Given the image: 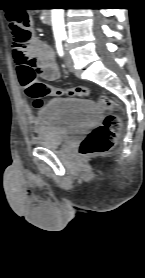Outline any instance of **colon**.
Masks as SVG:
<instances>
[{"instance_id": "5ec220e1", "label": "colon", "mask_w": 145, "mask_h": 278, "mask_svg": "<svg viewBox=\"0 0 145 278\" xmlns=\"http://www.w3.org/2000/svg\"><path fill=\"white\" fill-rule=\"evenodd\" d=\"M10 32L14 42L28 49L32 46L31 18L27 11L18 10L7 16ZM22 88L33 100L34 106L40 108L44 99L50 96L66 95L86 97L90 90L87 87L56 88L40 81L34 74L22 79ZM99 104L107 110H114L117 105L109 95H102ZM121 127V118L116 114H108L103 122L92 128L79 146V153L84 157L94 156L110 150L116 143L117 134Z\"/></svg>"}]
</instances>
